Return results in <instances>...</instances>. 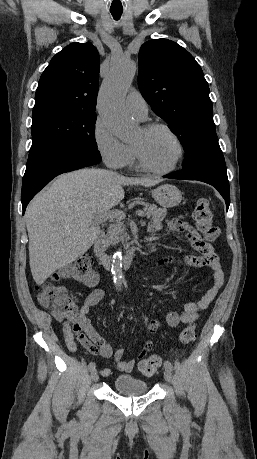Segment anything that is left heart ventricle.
Returning a JSON list of instances; mask_svg holds the SVG:
<instances>
[{
    "label": "left heart ventricle",
    "instance_id": "1",
    "mask_svg": "<svg viewBox=\"0 0 257 459\" xmlns=\"http://www.w3.org/2000/svg\"><path fill=\"white\" fill-rule=\"evenodd\" d=\"M133 144L141 149L147 162L156 168L170 166L178 154L177 146L172 137L161 129L144 132L141 128Z\"/></svg>",
    "mask_w": 257,
    "mask_h": 459
}]
</instances>
